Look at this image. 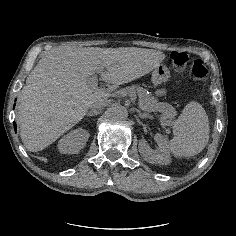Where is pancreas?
Returning <instances> with one entry per match:
<instances>
[{
	"label": "pancreas",
	"instance_id": "pancreas-1",
	"mask_svg": "<svg viewBox=\"0 0 236 236\" xmlns=\"http://www.w3.org/2000/svg\"><path fill=\"white\" fill-rule=\"evenodd\" d=\"M123 92H125L126 95H131L132 89L128 87V88L122 89L121 91H117L116 97L122 98ZM140 97L143 99V107L147 108L148 110H152L153 106L155 105V98L152 97L147 90H144L140 94Z\"/></svg>",
	"mask_w": 236,
	"mask_h": 236
}]
</instances>
